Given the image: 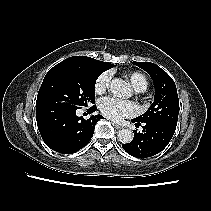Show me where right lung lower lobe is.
<instances>
[{"label":"right lung lower lobe","mask_w":211,"mask_h":211,"mask_svg":"<svg viewBox=\"0 0 211 211\" xmlns=\"http://www.w3.org/2000/svg\"><path fill=\"white\" fill-rule=\"evenodd\" d=\"M90 107V113L96 111ZM77 109L46 107L36 109L39 132L52 150L72 154L82 149L93 136L95 124L103 116H91L88 120L76 115Z\"/></svg>","instance_id":"right-lung-lower-lobe-1"}]
</instances>
